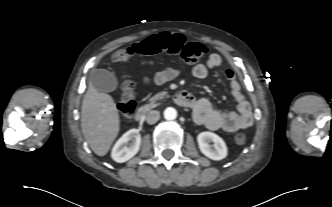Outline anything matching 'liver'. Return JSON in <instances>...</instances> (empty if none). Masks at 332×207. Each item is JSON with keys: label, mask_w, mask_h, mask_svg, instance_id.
I'll return each instance as SVG.
<instances>
[{"label": "liver", "mask_w": 332, "mask_h": 207, "mask_svg": "<svg viewBox=\"0 0 332 207\" xmlns=\"http://www.w3.org/2000/svg\"><path fill=\"white\" fill-rule=\"evenodd\" d=\"M82 133L98 156L108 153L120 130V117L113 98L89 83L81 109Z\"/></svg>", "instance_id": "obj_1"}]
</instances>
